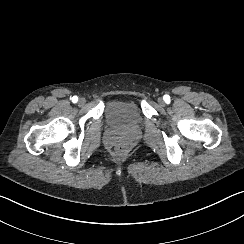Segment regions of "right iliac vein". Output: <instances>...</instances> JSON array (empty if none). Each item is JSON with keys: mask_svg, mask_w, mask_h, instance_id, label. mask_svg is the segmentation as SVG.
Returning a JSON list of instances; mask_svg holds the SVG:
<instances>
[{"mask_svg": "<svg viewBox=\"0 0 244 244\" xmlns=\"http://www.w3.org/2000/svg\"><path fill=\"white\" fill-rule=\"evenodd\" d=\"M85 103H86V99L83 98V97H81V98L79 99V101H78L79 106H84Z\"/></svg>", "mask_w": 244, "mask_h": 244, "instance_id": "1", "label": "right iliac vein"}]
</instances>
